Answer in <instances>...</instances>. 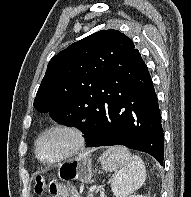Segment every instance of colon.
<instances>
[{"label":"colon","mask_w":191,"mask_h":197,"mask_svg":"<svg viewBox=\"0 0 191 197\" xmlns=\"http://www.w3.org/2000/svg\"><path fill=\"white\" fill-rule=\"evenodd\" d=\"M47 190L53 195L63 197L68 196V191L62 190V188L50 178L44 176H37L35 179V192L41 194Z\"/></svg>","instance_id":"obj_1"}]
</instances>
